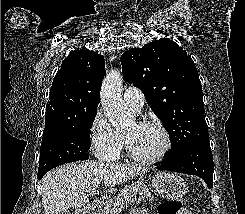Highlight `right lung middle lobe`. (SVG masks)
I'll list each match as a JSON object with an SVG mask.
<instances>
[{
	"label": "right lung middle lobe",
	"instance_id": "dd1d6c3e",
	"mask_svg": "<svg viewBox=\"0 0 245 214\" xmlns=\"http://www.w3.org/2000/svg\"><path fill=\"white\" fill-rule=\"evenodd\" d=\"M96 113L97 110L89 112L75 126L43 135L38 175L61 164L89 158L90 128Z\"/></svg>",
	"mask_w": 245,
	"mask_h": 214
}]
</instances>
